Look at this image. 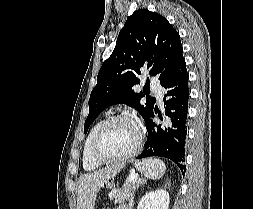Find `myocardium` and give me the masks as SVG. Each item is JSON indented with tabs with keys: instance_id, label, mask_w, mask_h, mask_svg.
<instances>
[{
	"instance_id": "f54148a6",
	"label": "myocardium",
	"mask_w": 253,
	"mask_h": 209,
	"mask_svg": "<svg viewBox=\"0 0 253 209\" xmlns=\"http://www.w3.org/2000/svg\"><path fill=\"white\" fill-rule=\"evenodd\" d=\"M117 120H128V121L132 122L135 125L136 130H137V140H136L135 146L126 154H124L120 157L107 158V157L102 156L99 153V151H98L99 143H100L102 134L105 131V129L107 128V126ZM142 140H143V134H142V130H141V127H140L138 121L130 114L118 113V114H115V115H112V116H109L108 118H106L99 126V128L94 136L93 142H92L91 154H92L93 159L100 164H112V163L124 162V161L132 158L133 156H135L138 153V151L140 150L141 145H142Z\"/></svg>"
}]
</instances>
